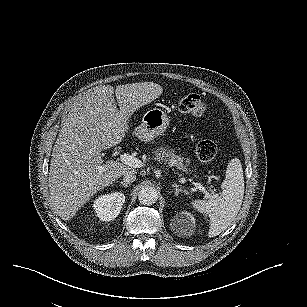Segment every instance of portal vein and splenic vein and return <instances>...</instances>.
<instances>
[{
    "mask_svg": "<svg viewBox=\"0 0 307 307\" xmlns=\"http://www.w3.org/2000/svg\"><path fill=\"white\" fill-rule=\"evenodd\" d=\"M120 159H121V161H122L124 164H126V165H128V166H130V167H132V168H139V167H141L142 164H143L142 161L139 160L138 158H136V157H134V156H132V155L126 154V153L120 155ZM193 185L195 186V188H196L197 190H199L200 192H202L206 198H216V197H217V194L211 195V194L205 189V187H204L202 184L197 183V182H194Z\"/></svg>",
    "mask_w": 307,
    "mask_h": 307,
    "instance_id": "portal-vein-and-splenic-vein-1",
    "label": "portal vein and splenic vein"
}]
</instances>
